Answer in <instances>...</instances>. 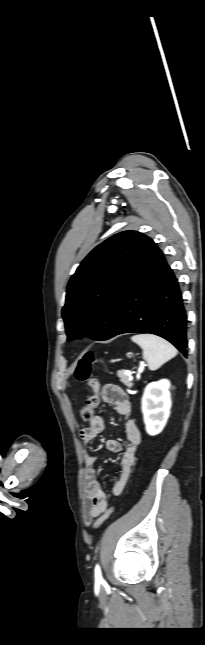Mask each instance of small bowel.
<instances>
[{
	"instance_id": "c3829d8e",
	"label": "small bowel",
	"mask_w": 205,
	"mask_h": 645,
	"mask_svg": "<svg viewBox=\"0 0 205 645\" xmlns=\"http://www.w3.org/2000/svg\"><path fill=\"white\" fill-rule=\"evenodd\" d=\"M101 399L103 402L113 405L117 413L126 418L125 433L127 443L125 447L123 448L121 443L115 439H109L106 442L108 450L122 452L118 477L111 487L112 494L118 496L124 490L130 476L131 467L136 461L141 435L134 420L129 417L131 414V402L120 387L113 384L104 385ZM104 428V418L100 414H96L91 419L90 425L80 431V438L84 443L89 444L103 432ZM96 462V455L89 452L85 454L83 517L86 524H89L93 518L100 516L108 506L107 494L102 489L97 478Z\"/></svg>"
}]
</instances>
